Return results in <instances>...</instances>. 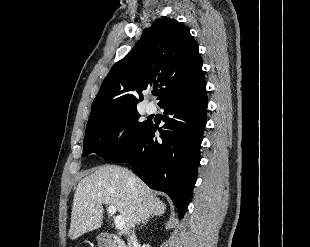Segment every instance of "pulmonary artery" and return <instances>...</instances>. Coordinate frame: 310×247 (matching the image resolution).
I'll return each instance as SVG.
<instances>
[{"label":"pulmonary artery","instance_id":"1","mask_svg":"<svg viewBox=\"0 0 310 247\" xmlns=\"http://www.w3.org/2000/svg\"><path fill=\"white\" fill-rule=\"evenodd\" d=\"M156 111V106L153 103H148L146 105V112L152 114Z\"/></svg>","mask_w":310,"mask_h":247}]
</instances>
